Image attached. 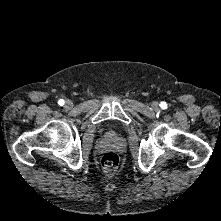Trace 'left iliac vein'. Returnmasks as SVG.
<instances>
[{
  "instance_id": "4c4485c4",
  "label": "left iliac vein",
  "mask_w": 221,
  "mask_h": 221,
  "mask_svg": "<svg viewBox=\"0 0 221 221\" xmlns=\"http://www.w3.org/2000/svg\"><path fill=\"white\" fill-rule=\"evenodd\" d=\"M153 108H154L155 110L158 108V103H157V102H155V103L153 104Z\"/></svg>"
}]
</instances>
